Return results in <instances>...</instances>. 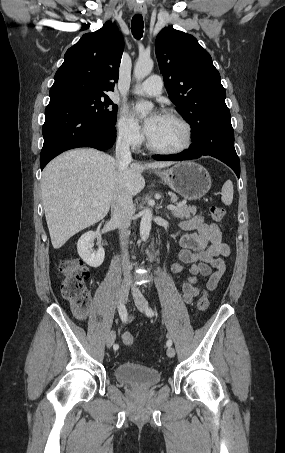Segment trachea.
Returning <instances> with one entry per match:
<instances>
[{"label": "trachea", "mask_w": 285, "mask_h": 453, "mask_svg": "<svg viewBox=\"0 0 285 453\" xmlns=\"http://www.w3.org/2000/svg\"><path fill=\"white\" fill-rule=\"evenodd\" d=\"M143 17L141 14H136L132 18L131 31L136 39H141L143 36Z\"/></svg>", "instance_id": "obj_1"}]
</instances>
